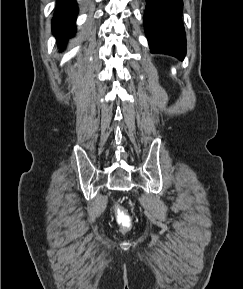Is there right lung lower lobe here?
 I'll use <instances>...</instances> for the list:
<instances>
[{
    "label": "right lung lower lobe",
    "mask_w": 243,
    "mask_h": 289,
    "mask_svg": "<svg viewBox=\"0 0 243 289\" xmlns=\"http://www.w3.org/2000/svg\"><path fill=\"white\" fill-rule=\"evenodd\" d=\"M78 12L75 0H57V10L52 20V30L57 41L65 40L75 34V20Z\"/></svg>",
    "instance_id": "obj_1"
}]
</instances>
